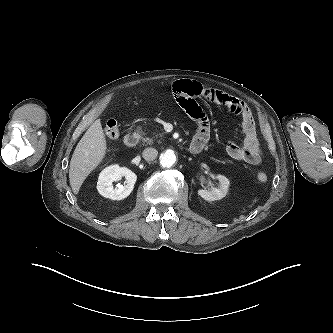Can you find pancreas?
<instances>
[{"instance_id":"1","label":"pancreas","mask_w":333,"mask_h":333,"mask_svg":"<svg viewBox=\"0 0 333 333\" xmlns=\"http://www.w3.org/2000/svg\"><path fill=\"white\" fill-rule=\"evenodd\" d=\"M137 131L140 132V133H142V128L139 126V127L137 128ZM143 134H144V133H143ZM155 136H158V134L155 135ZM155 136H153L152 138H148V137H146V138H142V141L145 142L146 144L150 145V144L153 143V138H154Z\"/></svg>"}]
</instances>
